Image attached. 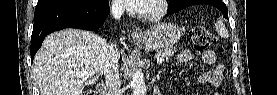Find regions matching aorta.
Masks as SVG:
<instances>
[{
	"label": "aorta",
	"instance_id": "762f6f07",
	"mask_svg": "<svg viewBox=\"0 0 277 95\" xmlns=\"http://www.w3.org/2000/svg\"><path fill=\"white\" fill-rule=\"evenodd\" d=\"M132 94L133 95H146V85L144 74L140 69H135L132 73L131 79Z\"/></svg>",
	"mask_w": 277,
	"mask_h": 95
}]
</instances>
